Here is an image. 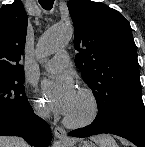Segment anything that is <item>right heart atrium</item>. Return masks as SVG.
Returning <instances> with one entry per match:
<instances>
[{
  "instance_id": "obj_1",
  "label": "right heart atrium",
  "mask_w": 145,
  "mask_h": 147,
  "mask_svg": "<svg viewBox=\"0 0 145 147\" xmlns=\"http://www.w3.org/2000/svg\"><path fill=\"white\" fill-rule=\"evenodd\" d=\"M33 111L35 115L39 118H45L47 115L46 108L39 100L33 101Z\"/></svg>"
}]
</instances>
